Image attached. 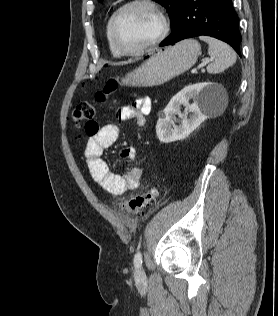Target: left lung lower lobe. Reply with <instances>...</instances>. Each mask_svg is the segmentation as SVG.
<instances>
[{
  "label": "left lung lower lobe",
  "mask_w": 278,
  "mask_h": 316,
  "mask_svg": "<svg viewBox=\"0 0 278 316\" xmlns=\"http://www.w3.org/2000/svg\"><path fill=\"white\" fill-rule=\"evenodd\" d=\"M202 35L228 43L241 56L242 38L232 0H185L172 33L160 46Z\"/></svg>",
  "instance_id": "obj_1"
}]
</instances>
